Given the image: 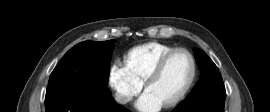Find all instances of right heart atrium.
<instances>
[{
	"instance_id": "1",
	"label": "right heart atrium",
	"mask_w": 270,
	"mask_h": 112,
	"mask_svg": "<svg viewBox=\"0 0 270 112\" xmlns=\"http://www.w3.org/2000/svg\"><path fill=\"white\" fill-rule=\"evenodd\" d=\"M108 84L114 92L115 100L122 105L128 104L142 90V84L119 61L109 67Z\"/></svg>"
}]
</instances>
